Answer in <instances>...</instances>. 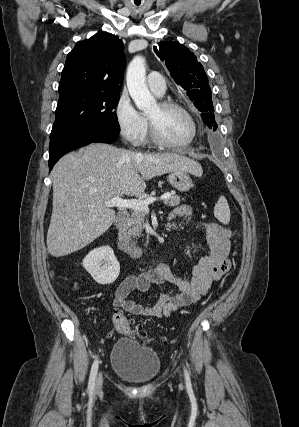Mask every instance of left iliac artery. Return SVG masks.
I'll list each match as a JSON object with an SVG mask.
<instances>
[{"label":"left iliac artery","instance_id":"44dca946","mask_svg":"<svg viewBox=\"0 0 299 427\" xmlns=\"http://www.w3.org/2000/svg\"><path fill=\"white\" fill-rule=\"evenodd\" d=\"M184 371H185V377H186V379H189L190 378L189 372L186 369Z\"/></svg>","mask_w":299,"mask_h":427}]
</instances>
